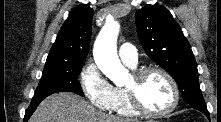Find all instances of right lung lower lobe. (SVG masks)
<instances>
[{
	"label": "right lung lower lobe",
	"instance_id": "obj_1",
	"mask_svg": "<svg viewBox=\"0 0 221 122\" xmlns=\"http://www.w3.org/2000/svg\"><path fill=\"white\" fill-rule=\"evenodd\" d=\"M42 100L40 101H32L30 106L28 107L26 113H25V117H24V121L26 122L30 116L33 114V112L35 111V109L37 108V106L39 105V103L41 102Z\"/></svg>",
	"mask_w": 221,
	"mask_h": 122
}]
</instances>
